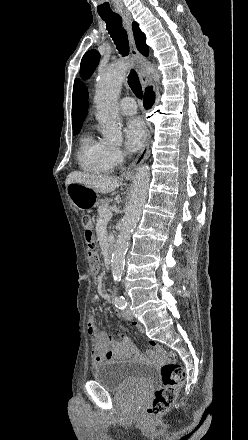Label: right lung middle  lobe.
Masks as SVG:
<instances>
[{"label":"right lung middle lobe","instance_id":"1","mask_svg":"<svg viewBox=\"0 0 248 440\" xmlns=\"http://www.w3.org/2000/svg\"><path fill=\"white\" fill-rule=\"evenodd\" d=\"M79 131H80V130H75V131H73V134H74V135H77V134L79 133Z\"/></svg>","mask_w":248,"mask_h":440}]
</instances>
